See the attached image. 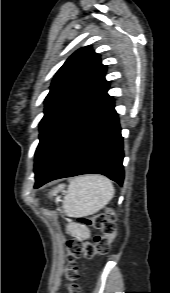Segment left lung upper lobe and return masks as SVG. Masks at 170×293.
<instances>
[{
  "label": "left lung upper lobe",
  "instance_id": "obj_1",
  "mask_svg": "<svg viewBox=\"0 0 170 293\" xmlns=\"http://www.w3.org/2000/svg\"><path fill=\"white\" fill-rule=\"evenodd\" d=\"M106 67L90 46L77 50L56 73L45 99L35 176L41 175L81 126L107 101Z\"/></svg>",
  "mask_w": 170,
  "mask_h": 293
}]
</instances>
